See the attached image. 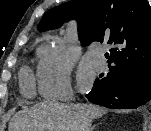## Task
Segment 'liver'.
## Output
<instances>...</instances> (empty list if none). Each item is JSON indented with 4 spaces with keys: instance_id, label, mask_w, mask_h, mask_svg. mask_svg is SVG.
I'll use <instances>...</instances> for the list:
<instances>
[{
    "instance_id": "1",
    "label": "liver",
    "mask_w": 151,
    "mask_h": 131,
    "mask_svg": "<svg viewBox=\"0 0 151 131\" xmlns=\"http://www.w3.org/2000/svg\"><path fill=\"white\" fill-rule=\"evenodd\" d=\"M106 110L91 104L45 101L17 113L9 131H91L92 121Z\"/></svg>"
}]
</instances>
